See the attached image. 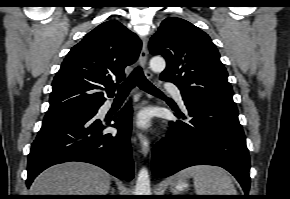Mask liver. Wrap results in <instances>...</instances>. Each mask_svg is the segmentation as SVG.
I'll return each instance as SVG.
<instances>
[{
    "label": "liver",
    "instance_id": "1",
    "mask_svg": "<svg viewBox=\"0 0 290 199\" xmlns=\"http://www.w3.org/2000/svg\"><path fill=\"white\" fill-rule=\"evenodd\" d=\"M111 176L103 169L82 162L55 165L32 183L31 195H107Z\"/></svg>",
    "mask_w": 290,
    "mask_h": 199
}]
</instances>
